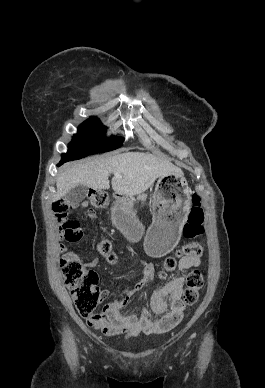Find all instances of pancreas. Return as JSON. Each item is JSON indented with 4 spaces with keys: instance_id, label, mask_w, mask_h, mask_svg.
I'll list each match as a JSON object with an SVG mask.
<instances>
[{
    "instance_id": "1",
    "label": "pancreas",
    "mask_w": 265,
    "mask_h": 388,
    "mask_svg": "<svg viewBox=\"0 0 265 388\" xmlns=\"http://www.w3.org/2000/svg\"><path fill=\"white\" fill-rule=\"evenodd\" d=\"M146 198V194H141V196H137V200H142V202H145Z\"/></svg>"
}]
</instances>
